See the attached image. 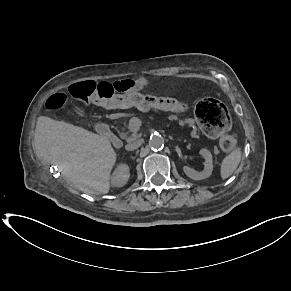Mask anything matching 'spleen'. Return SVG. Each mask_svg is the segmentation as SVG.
Returning <instances> with one entry per match:
<instances>
[{"mask_svg":"<svg viewBox=\"0 0 291 291\" xmlns=\"http://www.w3.org/2000/svg\"><path fill=\"white\" fill-rule=\"evenodd\" d=\"M241 157H242L241 149L237 147L222 160L220 174L223 180L230 177L233 174V172L237 169L241 161Z\"/></svg>","mask_w":291,"mask_h":291,"instance_id":"spleen-1","label":"spleen"}]
</instances>
